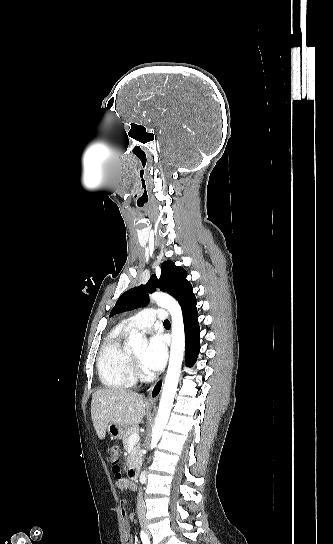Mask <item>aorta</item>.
I'll return each mask as SVG.
<instances>
[{
    "mask_svg": "<svg viewBox=\"0 0 333 544\" xmlns=\"http://www.w3.org/2000/svg\"><path fill=\"white\" fill-rule=\"evenodd\" d=\"M151 298L160 307L167 309L172 318L170 360L158 414L152 430L151 449H153L162 436L173 406L185 350V333L182 311L179 303L173 297L163 292H154L152 293ZM129 346L134 350H144L145 347L142 334L132 331L129 336Z\"/></svg>",
    "mask_w": 333,
    "mask_h": 544,
    "instance_id": "762f6f07",
    "label": "aorta"
}]
</instances>
